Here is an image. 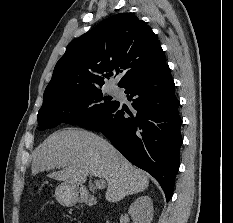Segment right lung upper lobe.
<instances>
[{
	"instance_id": "obj_1",
	"label": "right lung upper lobe",
	"mask_w": 233,
	"mask_h": 223,
	"mask_svg": "<svg viewBox=\"0 0 233 223\" xmlns=\"http://www.w3.org/2000/svg\"><path fill=\"white\" fill-rule=\"evenodd\" d=\"M165 61L160 41L143 20L116 14L68 44L45 89L43 105L101 88L113 70L122 74L120 87Z\"/></svg>"
}]
</instances>
